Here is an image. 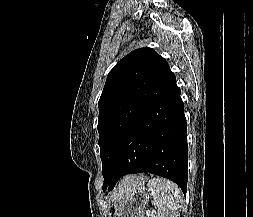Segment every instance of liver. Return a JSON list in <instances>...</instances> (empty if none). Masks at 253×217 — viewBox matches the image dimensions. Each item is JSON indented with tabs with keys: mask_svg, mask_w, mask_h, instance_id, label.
Listing matches in <instances>:
<instances>
[{
	"mask_svg": "<svg viewBox=\"0 0 253 217\" xmlns=\"http://www.w3.org/2000/svg\"><path fill=\"white\" fill-rule=\"evenodd\" d=\"M146 179L147 178L143 175H129L124 177L118 184L117 193L114 195V199H121L130 194L134 188L143 186Z\"/></svg>",
	"mask_w": 253,
	"mask_h": 217,
	"instance_id": "1",
	"label": "liver"
}]
</instances>
